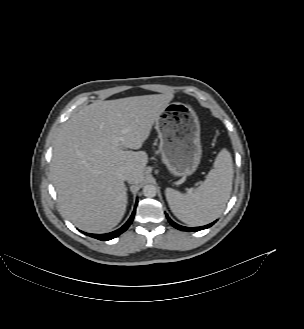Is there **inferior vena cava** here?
I'll list each match as a JSON object with an SVG mask.
<instances>
[{"label":"inferior vena cava","instance_id":"inferior-vena-cava-1","mask_svg":"<svg viewBox=\"0 0 304 329\" xmlns=\"http://www.w3.org/2000/svg\"><path fill=\"white\" fill-rule=\"evenodd\" d=\"M120 176L123 180H126V181H129L131 178V174L128 171H123Z\"/></svg>","mask_w":304,"mask_h":329}]
</instances>
